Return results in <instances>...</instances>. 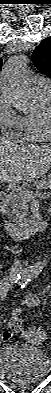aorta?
I'll return each instance as SVG.
<instances>
[{
  "instance_id": "762f6f07",
  "label": "aorta",
  "mask_w": 51,
  "mask_h": 393,
  "mask_svg": "<svg viewBox=\"0 0 51 393\" xmlns=\"http://www.w3.org/2000/svg\"><path fill=\"white\" fill-rule=\"evenodd\" d=\"M27 60L22 53L13 55L3 68L2 91L13 107L21 112H32L38 108L33 84L26 78ZM41 264L35 261L30 268L33 274Z\"/></svg>"
}]
</instances>
